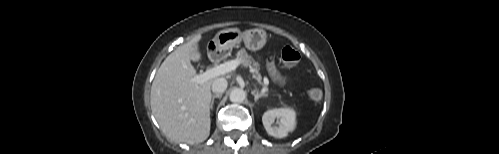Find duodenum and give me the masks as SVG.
I'll return each instance as SVG.
<instances>
[{"instance_id":"410a0bca","label":"duodenum","mask_w":499,"mask_h":154,"mask_svg":"<svg viewBox=\"0 0 499 154\" xmlns=\"http://www.w3.org/2000/svg\"><path fill=\"white\" fill-rule=\"evenodd\" d=\"M209 56H210L212 61L216 62L217 60H219V58L221 56V51H219L216 48H213V49H211Z\"/></svg>"}]
</instances>
